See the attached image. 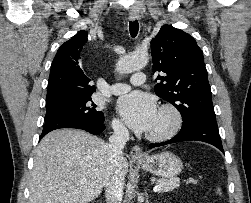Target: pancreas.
Segmentation results:
<instances>
[{"label": "pancreas", "instance_id": "pancreas-1", "mask_svg": "<svg viewBox=\"0 0 251 203\" xmlns=\"http://www.w3.org/2000/svg\"><path fill=\"white\" fill-rule=\"evenodd\" d=\"M158 184L162 185L161 192H169L175 188H178L180 185V181L178 178H162L158 180Z\"/></svg>", "mask_w": 251, "mask_h": 203}]
</instances>
